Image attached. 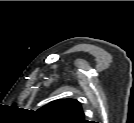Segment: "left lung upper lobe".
Here are the masks:
<instances>
[{
    "label": "left lung upper lobe",
    "mask_w": 134,
    "mask_h": 123,
    "mask_svg": "<svg viewBox=\"0 0 134 123\" xmlns=\"http://www.w3.org/2000/svg\"><path fill=\"white\" fill-rule=\"evenodd\" d=\"M47 118L64 123H85L81 104L75 99H59L39 109Z\"/></svg>",
    "instance_id": "left-lung-upper-lobe-1"
}]
</instances>
